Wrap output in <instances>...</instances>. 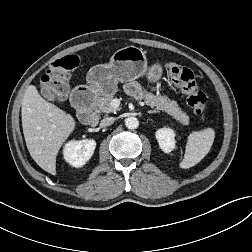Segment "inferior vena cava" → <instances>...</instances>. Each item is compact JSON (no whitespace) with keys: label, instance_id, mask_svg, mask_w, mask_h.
Segmentation results:
<instances>
[{"label":"inferior vena cava","instance_id":"obj_1","mask_svg":"<svg viewBox=\"0 0 252 252\" xmlns=\"http://www.w3.org/2000/svg\"><path fill=\"white\" fill-rule=\"evenodd\" d=\"M115 121L114 117H105L101 120L100 122V126L101 127H107L110 126L111 124H113V122Z\"/></svg>","mask_w":252,"mask_h":252}]
</instances>
